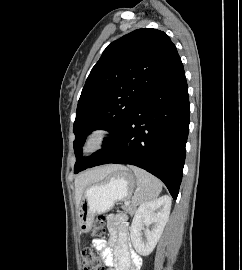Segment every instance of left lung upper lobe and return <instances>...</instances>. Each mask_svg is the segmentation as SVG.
<instances>
[{"mask_svg":"<svg viewBox=\"0 0 242 270\" xmlns=\"http://www.w3.org/2000/svg\"><path fill=\"white\" fill-rule=\"evenodd\" d=\"M179 57L169 36L157 29L135 30L109 44L92 68L73 126L74 173L88 168L144 101L156 79ZM106 129L103 149L82 159L86 136Z\"/></svg>","mask_w":242,"mask_h":270,"instance_id":"1","label":"left lung upper lobe"}]
</instances>
